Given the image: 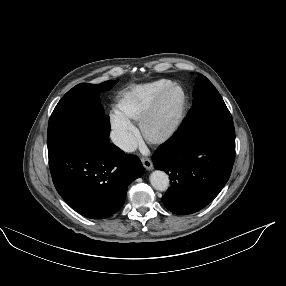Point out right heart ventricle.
Wrapping results in <instances>:
<instances>
[{
  "mask_svg": "<svg viewBox=\"0 0 286 286\" xmlns=\"http://www.w3.org/2000/svg\"><path fill=\"white\" fill-rule=\"evenodd\" d=\"M171 84V80L163 78L130 85L119 93L117 110L128 120L138 122L154 98Z\"/></svg>",
  "mask_w": 286,
  "mask_h": 286,
  "instance_id": "e07e8e85",
  "label": "right heart ventricle"
}]
</instances>
